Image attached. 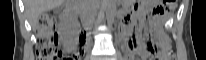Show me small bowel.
Instances as JSON below:
<instances>
[{"label": "small bowel", "instance_id": "1", "mask_svg": "<svg viewBox=\"0 0 206 60\" xmlns=\"http://www.w3.org/2000/svg\"><path fill=\"white\" fill-rule=\"evenodd\" d=\"M129 18H130V15L128 14L126 16V19H129ZM129 53L131 57H134L137 53L143 56L145 54V49L141 43H138L137 41L132 39L129 42Z\"/></svg>", "mask_w": 206, "mask_h": 60}]
</instances>
